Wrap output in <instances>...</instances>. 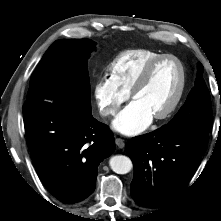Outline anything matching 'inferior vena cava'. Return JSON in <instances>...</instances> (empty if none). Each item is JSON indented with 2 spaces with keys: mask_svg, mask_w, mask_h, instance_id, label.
<instances>
[{
  "mask_svg": "<svg viewBox=\"0 0 221 221\" xmlns=\"http://www.w3.org/2000/svg\"><path fill=\"white\" fill-rule=\"evenodd\" d=\"M102 116H107L110 113V110H103L100 112Z\"/></svg>",
  "mask_w": 221,
  "mask_h": 221,
  "instance_id": "inferior-vena-cava-1",
  "label": "inferior vena cava"
}]
</instances>
